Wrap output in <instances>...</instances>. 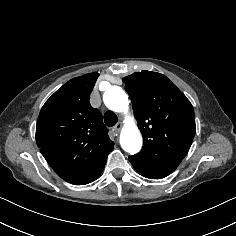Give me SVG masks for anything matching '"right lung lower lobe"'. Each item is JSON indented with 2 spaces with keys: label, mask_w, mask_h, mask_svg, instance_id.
Returning <instances> with one entry per match:
<instances>
[{
  "label": "right lung lower lobe",
  "mask_w": 236,
  "mask_h": 236,
  "mask_svg": "<svg viewBox=\"0 0 236 236\" xmlns=\"http://www.w3.org/2000/svg\"><path fill=\"white\" fill-rule=\"evenodd\" d=\"M105 163L94 173H91V174H88L85 176H81V177L67 178L64 180H66L69 183L75 184V185H84V184H88L90 182H93L94 180H96L100 176L101 172L104 169Z\"/></svg>",
  "instance_id": "98d812e1"
}]
</instances>
